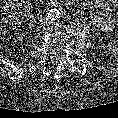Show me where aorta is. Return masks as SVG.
Returning <instances> with one entry per match:
<instances>
[{
	"label": "aorta",
	"instance_id": "obj_1",
	"mask_svg": "<svg viewBox=\"0 0 118 118\" xmlns=\"http://www.w3.org/2000/svg\"><path fill=\"white\" fill-rule=\"evenodd\" d=\"M47 16L51 20H56V19L59 18L60 12L57 9H51V10L48 11Z\"/></svg>",
	"mask_w": 118,
	"mask_h": 118
}]
</instances>
